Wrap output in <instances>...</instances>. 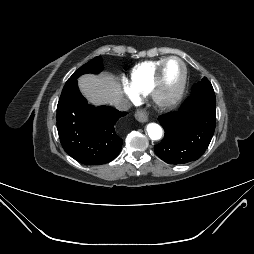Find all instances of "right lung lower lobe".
I'll return each mask as SVG.
<instances>
[{
    "label": "right lung lower lobe",
    "instance_id": "right-lung-lower-lobe-1",
    "mask_svg": "<svg viewBox=\"0 0 254 254\" xmlns=\"http://www.w3.org/2000/svg\"><path fill=\"white\" fill-rule=\"evenodd\" d=\"M126 112L92 107L81 95L77 79L67 81L57 105V129L64 150L85 165H100L119 154L122 139L116 122Z\"/></svg>",
    "mask_w": 254,
    "mask_h": 254
}]
</instances>
